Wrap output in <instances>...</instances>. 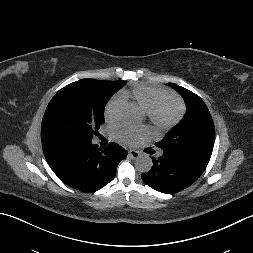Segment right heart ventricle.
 Segmentation results:
<instances>
[{"label": "right heart ventricle", "instance_id": "obj_1", "mask_svg": "<svg viewBox=\"0 0 253 253\" xmlns=\"http://www.w3.org/2000/svg\"><path fill=\"white\" fill-rule=\"evenodd\" d=\"M120 94L125 100L129 98L134 100L148 113L159 99L168 95V91L148 85H136Z\"/></svg>", "mask_w": 253, "mask_h": 253}]
</instances>
